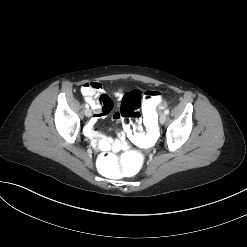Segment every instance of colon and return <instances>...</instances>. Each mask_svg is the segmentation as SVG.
Masks as SVG:
<instances>
[{"label":"colon","instance_id":"colon-1","mask_svg":"<svg viewBox=\"0 0 247 247\" xmlns=\"http://www.w3.org/2000/svg\"><path fill=\"white\" fill-rule=\"evenodd\" d=\"M161 105L159 91L148 90L144 94L134 90L127 93L121 103L120 115L124 128L135 145L150 147L159 138V123L156 120V108ZM146 118V132L143 133L140 108ZM146 164V155L139 148H130L123 154L115 151H103L96 158L97 169L111 178L132 177L139 174Z\"/></svg>","mask_w":247,"mask_h":247}]
</instances>
